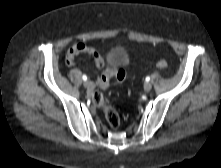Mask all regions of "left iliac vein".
<instances>
[{"mask_svg":"<svg viewBox=\"0 0 221 168\" xmlns=\"http://www.w3.org/2000/svg\"><path fill=\"white\" fill-rule=\"evenodd\" d=\"M151 89H152V84L149 83V82H146V83L144 84V90H145L146 92H149Z\"/></svg>","mask_w":221,"mask_h":168,"instance_id":"left-iliac-vein-1","label":"left iliac vein"}]
</instances>
